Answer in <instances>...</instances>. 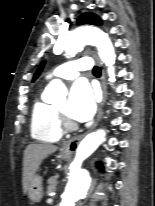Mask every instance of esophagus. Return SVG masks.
Wrapping results in <instances>:
<instances>
[{
  "label": "esophagus",
  "mask_w": 155,
  "mask_h": 206,
  "mask_svg": "<svg viewBox=\"0 0 155 206\" xmlns=\"http://www.w3.org/2000/svg\"><path fill=\"white\" fill-rule=\"evenodd\" d=\"M99 63L102 66V63L100 61H99ZM101 90H102L101 102H100V105H99V109H98V113H97L95 122L93 123L91 129L96 127L98 122L100 121L101 116H102L103 106H104V103H105V100H106V77H105V71H104L103 68H102V73H101ZM83 136L84 135H80V136H77L75 138H72V139L64 142L62 144V147H61L62 152L66 153V154L74 153V151L77 149V147L79 145V142H80V140L82 139Z\"/></svg>",
  "instance_id": "obj_1"
}]
</instances>
